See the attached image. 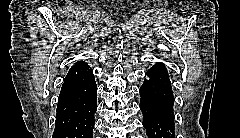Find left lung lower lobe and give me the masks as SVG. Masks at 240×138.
Returning <instances> with one entry per match:
<instances>
[{"label": "left lung lower lobe", "instance_id": "1", "mask_svg": "<svg viewBox=\"0 0 240 138\" xmlns=\"http://www.w3.org/2000/svg\"><path fill=\"white\" fill-rule=\"evenodd\" d=\"M140 88V109L143 126L149 138H175L173 116V93L165 66L155 64L147 71Z\"/></svg>", "mask_w": 240, "mask_h": 138}]
</instances>
